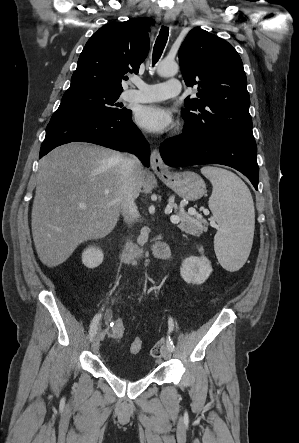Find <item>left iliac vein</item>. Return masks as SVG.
<instances>
[{"label": "left iliac vein", "instance_id": "obj_1", "mask_svg": "<svg viewBox=\"0 0 299 443\" xmlns=\"http://www.w3.org/2000/svg\"><path fill=\"white\" fill-rule=\"evenodd\" d=\"M171 352H172V351L169 350V349L167 348V349L164 351V353H163V357H164V359H166V360L170 359V358H171V355H172Z\"/></svg>", "mask_w": 299, "mask_h": 443}]
</instances>
